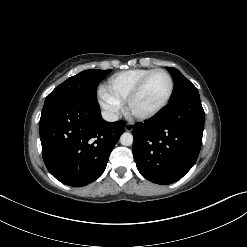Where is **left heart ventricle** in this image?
Listing matches in <instances>:
<instances>
[{"mask_svg":"<svg viewBox=\"0 0 247 247\" xmlns=\"http://www.w3.org/2000/svg\"><path fill=\"white\" fill-rule=\"evenodd\" d=\"M169 90V80L163 73H156L147 81L140 96L133 104L134 111L145 113L155 109L165 99Z\"/></svg>","mask_w":247,"mask_h":247,"instance_id":"obj_1","label":"left heart ventricle"}]
</instances>
